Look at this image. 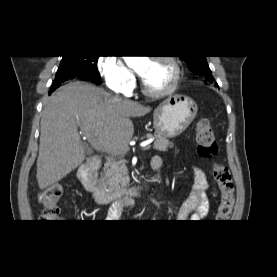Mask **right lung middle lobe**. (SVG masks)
I'll list each match as a JSON object with an SVG mask.
<instances>
[{
  "label": "right lung middle lobe",
  "mask_w": 277,
  "mask_h": 277,
  "mask_svg": "<svg viewBox=\"0 0 277 277\" xmlns=\"http://www.w3.org/2000/svg\"><path fill=\"white\" fill-rule=\"evenodd\" d=\"M99 56H63L57 74L74 73L77 76H87L98 83L100 75L97 70ZM56 74V75H57Z\"/></svg>",
  "instance_id": "obj_1"
}]
</instances>
